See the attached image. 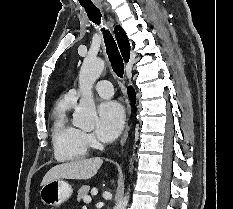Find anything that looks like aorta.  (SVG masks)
I'll use <instances>...</instances> for the list:
<instances>
[{
	"mask_svg": "<svg viewBox=\"0 0 233 209\" xmlns=\"http://www.w3.org/2000/svg\"><path fill=\"white\" fill-rule=\"evenodd\" d=\"M105 67L102 59L86 58L79 73V89L81 99L73 114V125L90 131L94 128L97 113L93 99L92 88ZM129 200L128 193L120 200L114 209H126Z\"/></svg>",
	"mask_w": 233,
	"mask_h": 209,
	"instance_id": "aorta-1",
	"label": "aorta"
}]
</instances>
